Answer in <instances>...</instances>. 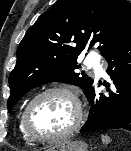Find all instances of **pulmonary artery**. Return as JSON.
<instances>
[{
	"label": "pulmonary artery",
	"instance_id": "1",
	"mask_svg": "<svg viewBox=\"0 0 131 151\" xmlns=\"http://www.w3.org/2000/svg\"><path fill=\"white\" fill-rule=\"evenodd\" d=\"M85 64L88 66V68L92 69L96 75L101 76L104 74V70L96 55L89 54L85 59Z\"/></svg>",
	"mask_w": 131,
	"mask_h": 151
}]
</instances>
